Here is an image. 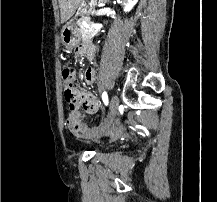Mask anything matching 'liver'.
<instances>
[{"mask_svg":"<svg viewBox=\"0 0 217 202\" xmlns=\"http://www.w3.org/2000/svg\"><path fill=\"white\" fill-rule=\"evenodd\" d=\"M79 4L80 0H59L61 24L72 18Z\"/></svg>","mask_w":217,"mask_h":202,"instance_id":"liver-1","label":"liver"}]
</instances>
